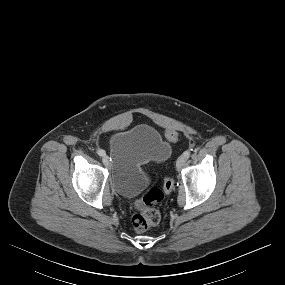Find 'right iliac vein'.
I'll use <instances>...</instances> for the list:
<instances>
[{
    "instance_id": "right-iliac-vein-1",
    "label": "right iliac vein",
    "mask_w": 285,
    "mask_h": 285,
    "mask_svg": "<svg viewBox=\"0 0 285 285\" xmlns=\"http://www.w3.org/2000/svg\"><path fill=\"white\" fill-rule=\"evenodd\" d=\"M102 162L105 166L109 164V158L106 154L102 157Z\"/></svg>"
}]
</instances>
